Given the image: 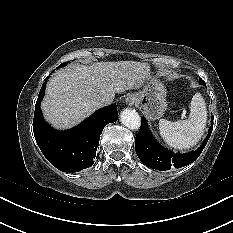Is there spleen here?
<instances>
[{
  "mask_svg": "<svg viewBox=\"0 0 233 233\" xmlns=\"http://www.w3.org/2000/svg\"><path fill=\"white\" fill-rule=\"evenodd\" d=\"M207 121V108L200 93H196L190 103L188 119L175 122L160 119L159 130L163 140L175 149H189L201 139Z\"/></svg>",
  "mask_w": 233,
  "mask_h": 233,
  "instance_id": "obj_1",
  "label": "spleen"
}]
</instances>
